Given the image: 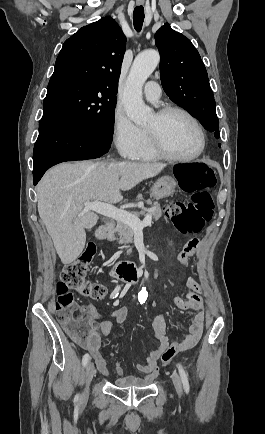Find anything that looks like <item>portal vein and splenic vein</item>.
I'll list each match as a JSON object with an SVG mask.
<instances>
[{
  "mask_svg": "<svg viewBox=\"0 0 265 434\" xmlns=\"http://www.w3.org/2000/svg\"><path fill=\"white\" fill-rule=\"evenodd\" d=\"M84 206V210H92V212H97V214H101V216L113 218V220H117V222H125L132 230H143L146 226H150L152 220L151 216H146L143 222H140L139 218L134 216V214L125 212V210H117L115 206L104 204V202H84ZM140 208H143V206H140Z\"/></svg>",
  "mask_w": 265,
  "mask_h": 434,
  "instance_id": "1",
  "label": "portal vein and splenic vein"
}]
</instances>
